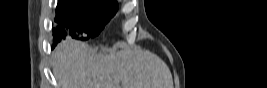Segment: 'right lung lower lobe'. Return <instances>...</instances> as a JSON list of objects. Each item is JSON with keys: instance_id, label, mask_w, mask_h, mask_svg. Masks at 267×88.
<instances>
[{"instance_id": "obj_1", "label": "right lung lower lobe", "mask_w": 267, "mask_h": 88, "mask_svg": "<svg viewBox=\"0 0 267 88\" xmlns=\"http://www.w3.org/2000/svg\"><path fill=\"white\" fill-rule=\"evenodd\" d=\"M60 29H63V28H61V27H60ZM63 32H64V30H63ZM60 41H61V40H60ZM57 43H58V42H57ZM57 43H54V45H53V46H56V44H57Z\"/></svg>"}]
</instances>
